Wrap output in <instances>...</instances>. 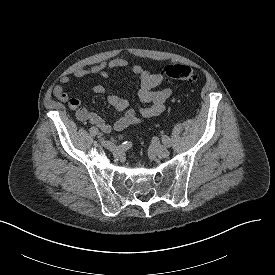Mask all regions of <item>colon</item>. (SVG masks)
I'll list each match as a JSON object with an SVG mask.
<instances>
[{"label": "colon", "mask_w": 275, "mask_h": 275, "mask_svg": "<svg viewBox=\"0 0 275 275\" xmlns=\"http://www.w3.org/2000/svg\"><path fill=\"white\" fill-rule=\"evenodd\" d=\"M163 76L170 80H179L189 84L197 83L199 80L195 70L183 64L168 65L163 69Z\"/></svg>", "instance_id": "colon-1"}]
</instances>
